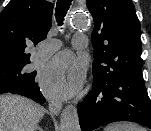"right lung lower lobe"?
<instances>
[{"label":"right lung lower lobe","mask_w":151,"mask_h":131,"mask_svg":"<svg viewBox=\"0 0 151 131\" xmlns=\"http://www.w3.org/2000/svg\"><path fill=\"white\" fill-rule=\"evenodd\" d=\"M35 76L28 77L25 80H22L19 83H10L6 84L3 78L0 79V94L1 93H14L19 94L32 100L43 104L45 102V98L40 92L39 86L34 81Z\"/></svg>","instance_id":"1"}]
</instances>
